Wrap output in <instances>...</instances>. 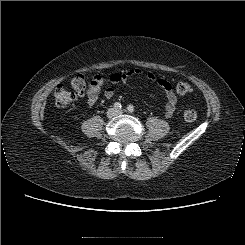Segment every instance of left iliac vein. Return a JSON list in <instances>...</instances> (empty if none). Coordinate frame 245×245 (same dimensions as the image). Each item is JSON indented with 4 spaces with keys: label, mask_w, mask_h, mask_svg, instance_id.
I'll list each match as a JSON object with an SVG mask.
<instances>
[{
    "label": "left iliac vein",
    "mask_w": 245,
    "mask_h": 245,
    "mask_svg": "<svg viewBox=\"0 0 245 245\" xmlns=\"http://www.w3.org/2000/svg\"><path fill=\"white\" fill-rule=\"evenodd\" d=\"M117 114H123V111L122 110H118Z\"/></svg>",
    "instance_id": "left-iliac-vein-1"
}]
</instances>
